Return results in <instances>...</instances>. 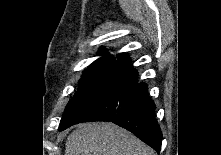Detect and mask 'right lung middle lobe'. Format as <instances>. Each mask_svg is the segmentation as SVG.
<instances>
[{"label": "right lung middle lobe", "instance_id": "right-lung-middle-lobe-1", "mask_svg": "<svg viewBox=\"0 0 221 155\" xmlns=\"http://www.w3.org/2000/svg\"><path fill=\"white\" fill-rule=\"evenodd\" d=\"M123 57L104 56L94 61L83 73L79 81V88L68 102L62 118L59 131L71 125L80 123L88 114L99 94L101 93L114 68Z\"/></svg>", "mask_w": 221, "mask_h": 155}]
</instances>
